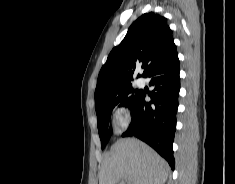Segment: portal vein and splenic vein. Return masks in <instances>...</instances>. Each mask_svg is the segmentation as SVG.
Returning <instances> with one entry per match:
<instances>
[{
    "label": "portal vein and splenic vein",
    "mask_w": 235,
    "mask_h": 184,
    "mask_svg": "<svg viewBox=\"0 0 235 184\" xmlns=\"http://www.w3.org/2000/svg\"><path fill=\"white\" fill-rule=\"evenodd\" d=\"M121 184H125V182H121Z\"/></svg>",
    "instance_id": "obj_1"
}]
</instances>
